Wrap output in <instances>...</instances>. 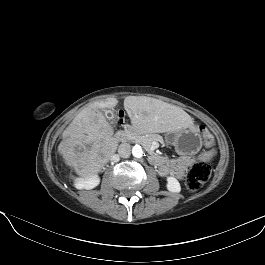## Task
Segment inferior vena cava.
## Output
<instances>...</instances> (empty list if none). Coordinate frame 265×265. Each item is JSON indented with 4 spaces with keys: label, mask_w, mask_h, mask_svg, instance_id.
<instances>
[{
    "label": "inferior vena cava",
    "mask_w": 265,
    "mask_h": 265,
    "mask_svg": "<svg viewBox=\"0 0 265 265\" xmlns=\"http://www.w3.org/2000/svg\"><path fill=\"white\" fill-rule=\"evenodd\" d=\"M131 146L128 143H122L118 147V154L122 158H128L130 156Z\"/></svg>",
    "instance_id": "obj_1"
}]
</instances>
